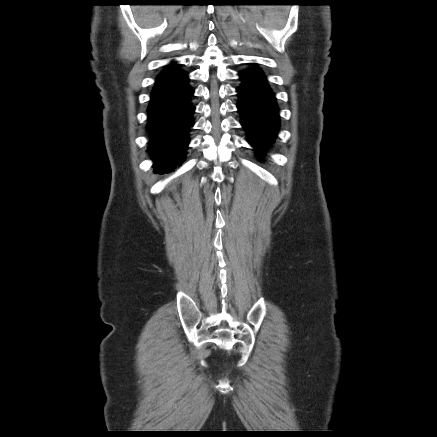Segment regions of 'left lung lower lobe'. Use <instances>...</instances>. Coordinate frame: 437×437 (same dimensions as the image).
<instances>
[{
	"instance_id": "left-lung-lower-lobe-1",
	"label": "left lung lower lobe",
	"mask_w": 437,
	"mask_h": 437,
	"mask_svg": "<svg viewBox=\"0 0 437 437\" xmlns=\"http://www.w3.org/2000/svg\"><path fill=\"white\" fill-rule=\"evenodd\" d=\"M237 108L248 142L263 154L277 136L280 126L276 98L266 76L257 66L239 72Z\"/></svg>"
}]
</instances>
